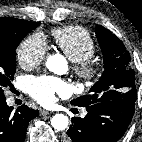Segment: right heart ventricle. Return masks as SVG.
<instances>
[{
  "label": "right heart ventricle",
  "mask_w": 142,
  "mask_h": 142,
  "mask_svg": "<svg viewBox=\"0 0 142 142\" xmlns=\"http://www.w3.org/2000/svg\"><path fill=\"white\" fill-rule=\"evenodd\" d=\"M55 45L72 62L91 58L96 50L90 33L80 26H65L52 31Z\"/></svg>",
  "instance_id": "right-heart-ventricle-1"
}]
</instances>
